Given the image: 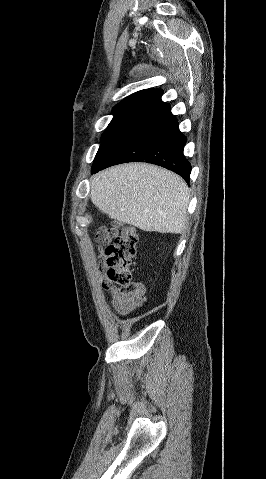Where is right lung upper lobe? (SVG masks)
<instances>
[{
  "mask_svg": "<svg viewBox=\"0 0 266 479\" xmlns=\"http://www.w3.org/2000/svg\"><path fill=\"white\" fill-rule=\"evenodd\" d=\"M163 91L161 89H144L138 91L113 108V113L131 112L139 113L161 98Z\"/></svg>",
  "mask_w": 266,
  "mask_h": 479,
  "instance_id": "right-lung-upper-lobe-1",
  "label": "right lung upper lobe"
}]
</instances>
